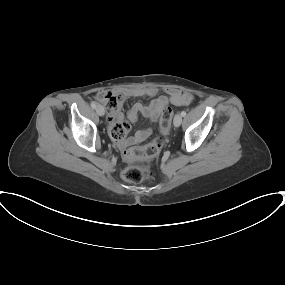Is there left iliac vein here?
<instances>
[{
	"mask_svg": "<svg viewBox=\"0 0 285 285\" xmlns=\"http://www.w3.org/2000/svg\"><path fill=\"white\" fill-rule=\"evenodd\" d=\"M181 123H182V115L178 113L174 117V126L179 127Z\"/></svg>",
	"mask_w": 285,
	"mask_h": 285,
	"instance_id": "obj_1",
	"label": "left iliac vein"
}]
</instances>
